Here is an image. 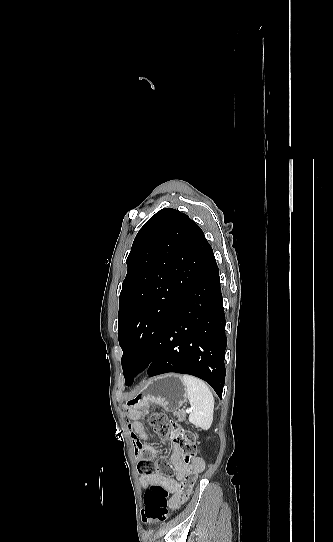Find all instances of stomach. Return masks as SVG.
Here are the masks:
<instances>
[{
    "mask_svg": "<svg viewBox=\"0 0 333 542\" xmlns=\"http://www.w3.org/2000/svg\"><path fill=\"white\" fill-rule=\"evenodd\" d=\"M187 402L186 388L177 374H165L150 378L146 386L134 398L128 400L130 408L147 412L150 404L161 406L166 412H177Z\"/></svg>",
    "mask_w": 333,
    "mask_h": 542,
    "instance_id": "0dacf381",
    "label": "stomach"
}]
</instances>
